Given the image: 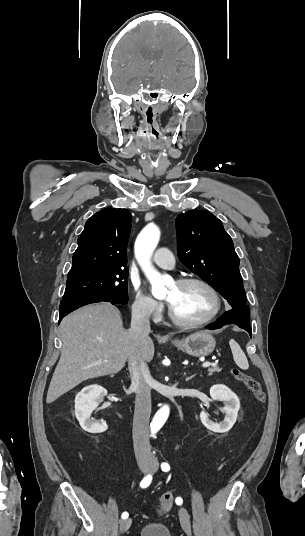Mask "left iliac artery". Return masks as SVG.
<instances>
[{"label":"left iliac artery","mask_w":305,"mask_h":536,"mask_svg":"<svg viewBox=\"0 0 305 536\" xmlns=\"http://www.w3.org/2000/svg\"><path fill=\"white\" fill-rule=\"evenodd\" d=\"M161 469H162V471L167 472V471L170 470V466H169L168 463L164 462V463L161 464ZM182 502H183L182 498H180V497H177V498H176V503H177L178 505H181Z\"/></svg>","instance_id":"1"}]
</instances>
